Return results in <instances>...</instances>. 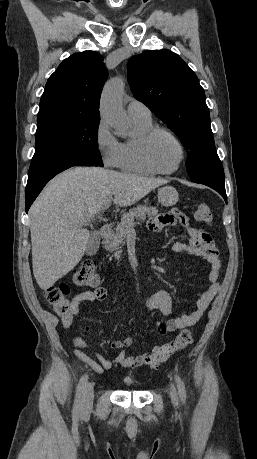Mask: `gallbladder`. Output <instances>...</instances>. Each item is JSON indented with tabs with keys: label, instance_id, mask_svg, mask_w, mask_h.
<instances>
[{
	"label": "gallbladder",
	"instance_id": "gallbladder-1",
	"mask_svg": "<svg viewBox=\"0 0 257 459\" xmlns=\"http://www.w3.org/2000/svg\"><path fill=\"white\" fill-rule=\"evenodd\" d=\"M100 245V236L97 232L92 233L90 235L89 241L86 245V254L87 255H94L97 253Z\"/></svg>",
	"mask_w": 257,
	"mask_h": 459
}]
</instances>
